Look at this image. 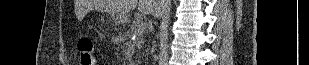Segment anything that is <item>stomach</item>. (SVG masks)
<instances>
[{"label":"stomach","instance_id":"1","mask_svg":"<svg viewBox=\"0 0 309 65\" xmlns=\"http://www.w3.org/2000/svg\"><path fill=\"white\" fill-rule=\"evenodd\" d=\"M112 16L116 23L125 24L128 22V16L125 13H114Z\"/></svg>","mask_w":309,"mask_h":65}]
</instances>
